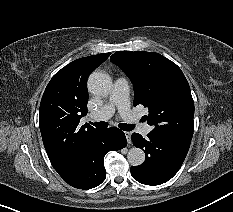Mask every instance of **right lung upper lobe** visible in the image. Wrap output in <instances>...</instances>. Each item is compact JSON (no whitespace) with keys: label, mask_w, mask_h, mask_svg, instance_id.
<instances>
[{"label":"right lung upper lobe","mask_w":233,"mask_h":212,"mask_svg":"<svg viewBox=\"0 0 233 212\" xmlns=\"http://www.w3.org/2000/svg\"><path fill=\"white\" fill-rule=\"evenodd\" d=\"M111 53L77 59L58 71L48 83L39 110L42 140L59 175L77 165L100 129L79 126L87 114V77Z\"/></svg>","instance_id":"obj_1"}]
</instances>
